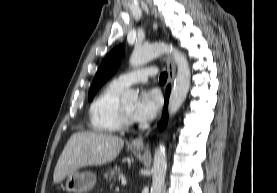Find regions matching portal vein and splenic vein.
<instances>
[{"label": "portal vein and splenic vein", "mask_w": 277, "mask_h": 193, "mask_svg": "<svg viewBox=\"0 0 277 193\" xmlns=\"http://www.w3.org/2000/svg\"><path fill=\"white\" fill-rule=\"evenodd\" d=\"M121 184H122V185H126V184H127V180H126L125 178H122Z\"/></svg>", "instance_id": "portal-vein-and-splenic-vein-1"}]
</instances>
